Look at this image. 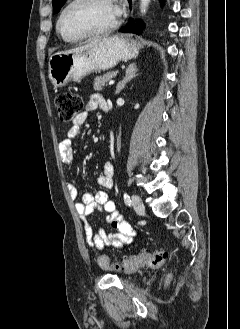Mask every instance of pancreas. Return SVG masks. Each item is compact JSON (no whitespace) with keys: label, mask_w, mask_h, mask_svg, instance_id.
<instances>
[{"label":"pancreas","mask_w":240,"mask_h":329,"mask_svg":"<svg viewBox=\"0 0 240 329\" xmlns=\"http://www.w3.org/2000/svg\"><path fill=\"white\" fill-rule=\"evenodd\" d=\"M117 75V71L106 73L103 76H98L94 79L93 88L96 91H101L104 85L113 77Z\"/></svg>","instance_id":"1"}]
</instances>
